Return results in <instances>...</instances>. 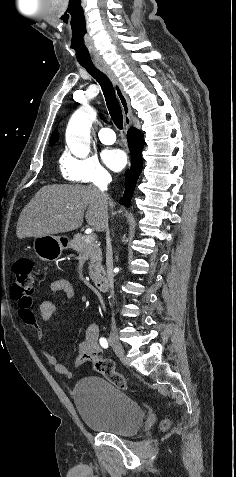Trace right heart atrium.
I'll list each match as a JSON object with an SVG mask.
<instances>
[{
	"mask_svg": "<svg viewBox=\"0 0 236 477\" xmlns=\"http://www.w3.org/2000/svg\"><path fill=\"white\" fill-rule=\"evenodd\" d=\"M63 176L74 183L102 184L110 178L109 172L95 157H75L66 154L61 159Z\"/></svg>",
	"mask_w": 236,
	"mask_h": 477,
	"instance_id": "1",
	"label": "right heart atrium"
}]
</instances>
